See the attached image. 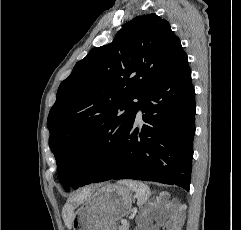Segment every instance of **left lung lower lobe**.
Returning a JSON list of instances; mask_svg holds the SVG:
<instances>
[{"label": "left lung lower lobe", "instance_id": "left-lung-lower-lobe-1", "mask_svg": "<svg viewBox=\"0 0 241 230\" xmlns=\"http://www.w3.org/2000/svg\"><path fill=\"white\" fill-rule=\"evenodd\" d=\"M139 109L145 113L140 133L134 127ZM134 114L132 124L117 141L100 140L77 160L70 179L72 187L110 179H136L177 185L189 191L195 90L186 53L149 88Z\"/></svg>", "mask_w": 241, "mask_h": 230}]
</instances>
